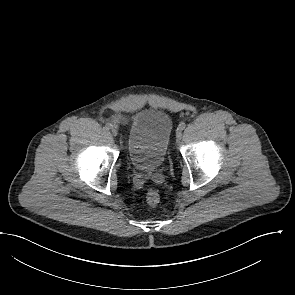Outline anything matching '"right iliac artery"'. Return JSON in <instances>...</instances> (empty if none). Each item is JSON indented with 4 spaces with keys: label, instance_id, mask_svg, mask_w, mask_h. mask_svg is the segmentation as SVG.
Wrapping results in <instances>:
<instances>
[{
    "label": "right iliac artery",
    "instance_id": "1",
    "mask_svg": "<svg viewBox=\"0 0 295 295\" xmlns=\"http://www.w3.org/2000/svg\"><path fill=\"white\" fill-rule=\"evenodd\" d=\"M112 127H113V125L111 123H107L105 125V129H107V130L111 129Z\"/></svg>",
    "mask_w": 295,
    "mask_h": 295
}]
</instances>
